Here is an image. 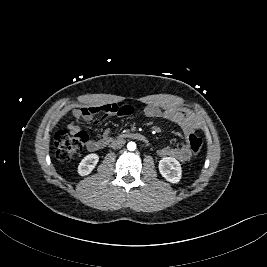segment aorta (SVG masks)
<instances>
[{"mask_svg": "<svg viewBox=\"0 0 267 267\" xmlns=\"http://www.w3.org/2000/svg\"><path fill=\"white\" fill-rule=\"evenodd\" d=\"M127 149H128L129 151H134V150L136 149V143H135V142H129V143L127 144Z\"/></svg>", "mask_w": 267, "mask_h": 267, "instance_id": "762f6f07", "label": "aorta"}]
</instances>
